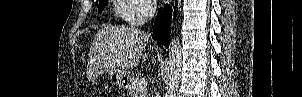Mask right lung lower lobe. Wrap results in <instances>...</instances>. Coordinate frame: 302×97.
<instances>
[{
    "label": "right lung lower lobe",
    "instance_id": "obj_1",
    "mask_svg": "<svg viewBox=\"0 0 302 97\" xmlns=\"http://www.w3.org/2000/svg\"><path fill=\"white\" fill-rule=\"evenodd\" d=\"M171 12V7L169 5H165L163 10L159 9L154 23V34L156 36V40L166 47L169 46L170 42Z\"/></svg>",
    "mask_w": 302,
    "mask_h": 97
}]
</instances>
